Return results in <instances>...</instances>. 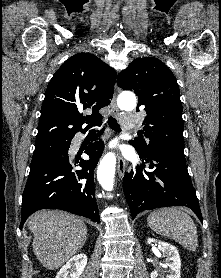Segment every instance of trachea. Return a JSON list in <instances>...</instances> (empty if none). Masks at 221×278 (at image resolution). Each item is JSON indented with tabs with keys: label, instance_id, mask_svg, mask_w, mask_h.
Returning <instances> with one entry per match:
<instances>
[{
	"label": "trachea",
	"instance_id": "1",
	"mask_svg": "<svg viewBox=\"0 0 221 278\" xmlns=\"http://www.w3.org/2000/svg\"><path fill=\"white\" fill-rule=\"evenodd\" d=\"M108 125L111 129H113L114 131L120 132V125L118 124V122L116 121V119L112 116L108 117Z\"/></svg>",
	"mask_w": 221,
	"mask_h": 278
}]
</instances>
